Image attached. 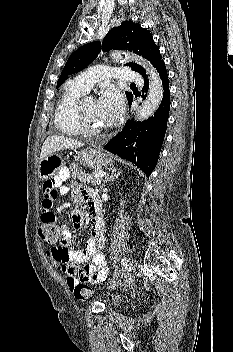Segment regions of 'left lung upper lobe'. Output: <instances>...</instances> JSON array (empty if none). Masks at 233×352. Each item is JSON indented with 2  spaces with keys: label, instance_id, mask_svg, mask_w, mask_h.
I'll use <instances>...</instances> for the list:
<instances>
[{
  "label": "left lung upper lobe",
  "instance_id": "left-lung-upper-lobe-1",
  "mask_svg": "<svg viewBox=\"0 0 233 352\" xmlns=\"http://www.w3.org/2000/svg\"><path fill=\"white\" fill-rule=\"evenodd\" d=\"M101 49L103 51H110L111 49L133 51L147 58L155 68L162 61V56L153 40L152 34L133 22L125 21L120 26L112 28L103 39L102 44L99 41L88 43L72 53L61 72L57 88L61 86L69 75L80 72L90 64ZM126 65L140 73L143 77H146L145 69L140 65L135 63H127ZM126 97L130 101L133 98V94L126 92Z\"/></svg>",
  "mask_w": 233,
  "mask_h": 352
}]
</instances>
